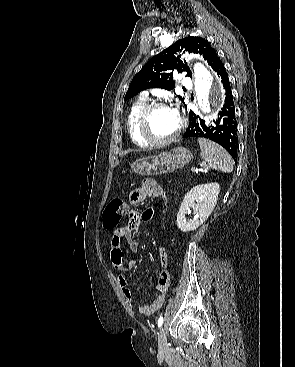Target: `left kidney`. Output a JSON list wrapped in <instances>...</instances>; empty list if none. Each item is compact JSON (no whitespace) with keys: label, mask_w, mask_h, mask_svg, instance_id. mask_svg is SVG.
Listing matches in <instances>:
<instances>
[{"label":"left kidney","mask_w":295,"mask_h":367,"mask_svg":"<svg viewBox=\"0 0 295 367\" xmlns=\"http://www.w3.org/2000/svg\"><path fill=\"white\" fill-rule=\"evenodd\" d=\"M220 192L218 183L201 184L193 187L184 197L177 214V226L182 232L196 230L212 213ZM193 207L195 218L187 220L186 215Z\"/></svg>","instance_id":"1"}]
</instances>
